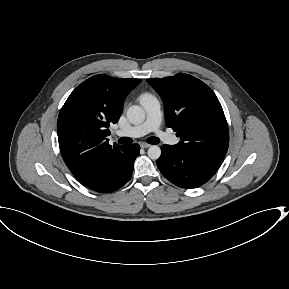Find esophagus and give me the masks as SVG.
Segmentation results:
<instances>
[{"mask_svg": "<svg viewBox=\"0 0 289 289\" xmlns=\"http://www.w3.org/2000/svg\"><path fill=\"white\" fill-rule=\"evenodd\" d=\"M151 145L147 143H142L141 148H149Z\"/></svg>", "mask_w": 289, "mask_h": 289, "instance_id": "esophagus-1", "label": "esophagus"}]
</instances>
